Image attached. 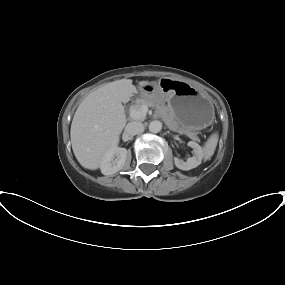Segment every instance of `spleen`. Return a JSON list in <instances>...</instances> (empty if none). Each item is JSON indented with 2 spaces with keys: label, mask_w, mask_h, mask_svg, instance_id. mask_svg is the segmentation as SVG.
<instances>
[{
  "label": "spleen",
  "mask_w": 285,
  "mask_h": 285,
  "mask_svg": "<svg viewBox=\"0 0 285 285\" xmlns=\"http://www.w3.org/2000/svg\"><path fill=\"white\" fill-rule=\"evenodd\" d=\"M218 138H219L218 134L214 133L206 141L203 147V157L205 160H208L213 156L215 149L217 147Z\"/></svg>",
  "instance_id": "spleen-1"
}]
</instances>
